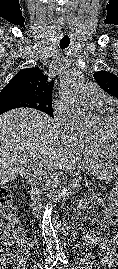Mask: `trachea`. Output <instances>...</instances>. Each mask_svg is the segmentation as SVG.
<instances>
[{
    "mask_svg": "<svg viewBox=\"0 0 118 269\" xmlns=\"http://www.w3.org/2000/svg\"><path fill=\"white\" fill-rule=\"evenodd\" d=\"M69 44H70V39H62L60 41V47L63 49L67 48L69 46Z\"/></svg>",
    "mask_w": 118,
    "mask_h": 269,
    "instance_id": "obj_1",
    "label": "trachea"
}]
</instances>
